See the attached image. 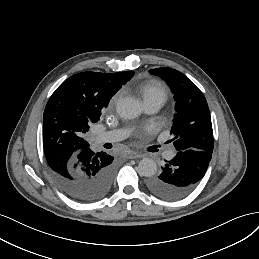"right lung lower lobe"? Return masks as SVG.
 Wrapping results in <instances>:
<instances>
[{
	"instance_id": "obj_1",
	"label": "right lung lower lobe",
	"mask_w": 259,
	"mask_h": 259,
	"mask_svg": "<svg viewBox=\"0 0 259 259\" xmlns=\"http://www.w3.org/2000/svg\"><path fill=\"white\" fill-rule=\"evenodd\" d=\"M113 157L90 150L77 158L65 171H51L59 188L70 198L82 203L94 202L110 190L115 175Z\"/></svg>"
}]
</instances>
